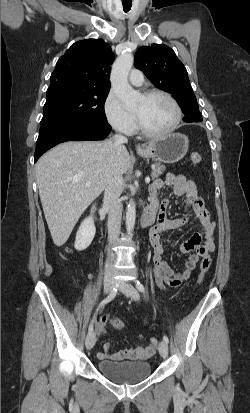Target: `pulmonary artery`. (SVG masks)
<instances>
[{"mask_svg":"<svg viewBox=\"0 0 250 413\" xmlns=\"http://www.w3.org/2000/svg\"><path fill=\"white\" fill-rule=\"evenodd\" d=\"M129 81L134 86H141L144 81L143 73L139 69H132L129 74Z\"/></svg>","mask_w":250,"mask_h":413,"instance_id":"1","label":"pulmonary artery"}]
</instances>
